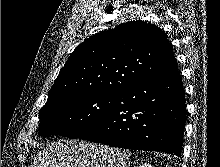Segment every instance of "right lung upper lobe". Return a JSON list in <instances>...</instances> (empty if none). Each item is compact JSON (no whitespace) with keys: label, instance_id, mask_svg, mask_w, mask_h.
<instances>
[{"label":"right lung upper lobe","instance_id":"cb5924a9","mask_svg":"<svg viewBox=\"0 0 220 167\" xmlns=\"http://www.w3.org/2000/svg\"><path fill=\"white\" fill-rule=\"evenodd\" d=\"M177 69L164 31L144 21H130L97 33L75 48L48 101L74 92L119 93Z\"/></svg>","mask_w":220,"mask_h":167}]
</instances>
